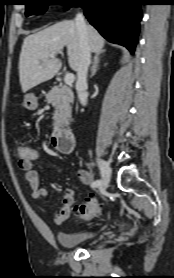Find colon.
I'll list each match as a JSON object with an SVG mask.
<instances>
[{"label": "colon", "instance_id": "5ec220e1", "mask_svg": "<svg viewBox=\"0 0 174 278\" xmlns=\"http://www.w3.org/2000/svg\"><path fill=\"white\" fill-rule=\"evenodd\" d=\"M17 155L19 159H34L38 156L37 151L31 147H18ZM100 212V203L97 198L90 197L83 204L75 207L74 217L81 220L90 219Z\"/></svg>", "mask_w": 174, "mask_h": 278}]
</instances>
